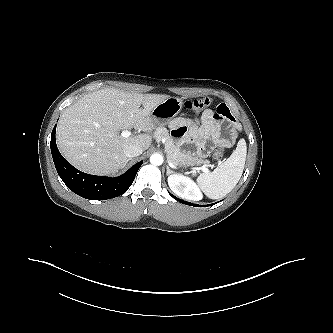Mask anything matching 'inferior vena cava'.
I'll return each instance as SVG.
<instances>
[{
	"label": "inferior vena cava",
	"instance_id": "1",
	"mask_svg": "<svg viewBox=\"0 0 333 333\" xmlns=\"http://www.w3.org/2000/svg\"><path fill=\"white\" fill-rule=\"evenodd\" d=\"M143 149L137 145H129L124 149V153L128 158L137 157L141 155Z\"/></svg>",
	"mask_w": 333,
	"mask_h": 333
}]
</instances>
